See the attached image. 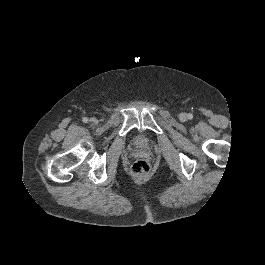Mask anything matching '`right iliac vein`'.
Instances as JSON below:
<instances>
[{"label": "right iliac vein", "instance_id": "1", "mask_svg": "<svg viewBox=\"0 0 265 265\" xmlns=\"http://www.w3.org/2000/svg\"><path fill=\"white\" fill-rule=\"evenodd\" d=\"M90 124L92 126H96L98 124V120L95 117L90 118Z\"/></svg>", "mask_w": 265, "mask_h": 265}]
</instances>
